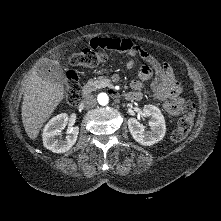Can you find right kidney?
<instances>
[{
	"mask_svg": "<svg viewBox=\"0 0 221 221\" xmlns=\"http://www.w3.org/2000/svg\"><path fill=\"white\" fill-rule=\"evenodd\" d=\"M68 123V115L66 113L59 114L53 117L43 129V144L45 148L54 153H64L68 151L75 143L79 134V127H71L67 131L64 140L58 139L57 136L61 134V130L66 127Z\"/></svg>",
	"mask_w": 221,
	"mask_h": 221,
	"instance_id": "1",
	"label": "right kidney"
}]
</instances>
